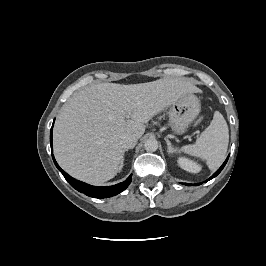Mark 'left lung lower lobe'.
Returning <instances> with one entry per match:
<instances>
[{"instance_id": "left-lung-lower-lobe-1", "label": "left lung lower lobe", "mask_w": 266, "mask_h": 266, "mask_svg": "<svg viewBox=\"0 0 266 266\" xmlns=\"http://www.w3.org/2000/svg\"><path fill=\"white\" fill-rule=\"evenodd\" d=\"M228 158L229 156L227 157V159L225 160V162L222 164V166L209 178L207 179L205 182L211 180L212 178L216 177L221 171L222 169L224 168V166L226 165L227 161H228ZM202 183H198V184H188V183H184V185H188V186H191V185H200Z\"/></svg>"}]
</instances>
